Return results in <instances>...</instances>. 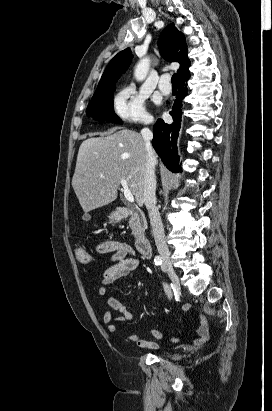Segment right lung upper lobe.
Instances as JSON below:
<instances>
[{
    "label": "right lung upper lobe",
    "instance_id": "right-lung-upper-lobe-1",
    "mask_svg": "<svg viewBox=\"0 0 272 411\" xmlns=\"http://www.w3.org/2000/svg\"><path fill=\"white\" fill-rule=\"evenodd\" d=\"M168 42L170 46H168ZM158 46L164 59L180 63L177 73L179 81L189 79L190 60L187 57V45L185 36L174 26L168 25L162 32ZM133 58L130 48L119 52L106 67L97 88H104L117 82L121 75L129 67Z\"/></svg>",
    "mask_w": 272,
    "mask_h": 411
}]
</instances>
